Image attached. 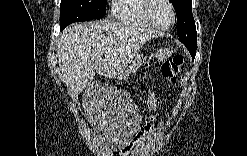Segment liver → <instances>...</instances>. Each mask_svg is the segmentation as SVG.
Returning a JSON list of instances; mask_svg holds the SVG:
<instances>
[{"mask_svg":"<svg viewBox=\"0 0 247 156\" xmlns=\"http://www.w3.org/2000/svg\"><path fill=\"white\" fill-rule=\"evenodd\" d=\"M158 31L129 23L94 21L74 23L62 31L57 41L60 70L69 90L79 93L95 77L123 74L140 48Z\"/></svg>","mask_w":247,"mask_h":156,"instance_id":"6515ba94","label":"liver"}]
</instances>
